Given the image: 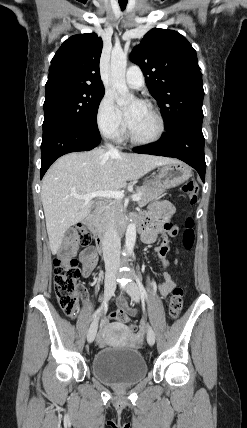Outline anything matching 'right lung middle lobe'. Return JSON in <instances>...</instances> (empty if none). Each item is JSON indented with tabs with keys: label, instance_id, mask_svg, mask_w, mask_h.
I'll return each instance as SVG.
<instances>
[{
	"label": "right lung middle lobe",
	"instance_id": "1",
	"mask_svg": "<svg viewBox=\"0 0 247 428\" xmlns=\"http://www.w3.org/2000/svg\"><path fill=\"white\" fill-rule=\"evenodd\" d=\"M104 90L60 88L46 92L43 127L65 122L86 128H97V111Z\"/></svg>",
	"mask_w": 247,
	"mask_h": 428
}]
</instances>
